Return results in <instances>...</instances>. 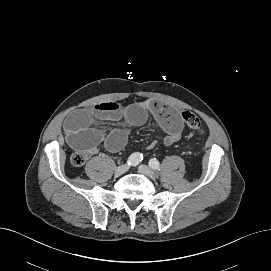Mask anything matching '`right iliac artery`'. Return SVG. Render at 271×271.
Here are the masks:
<instances>
[{"label":"right iliac artery","mask_w":271,"mask_h":271,"mask_svg":"<svg viewBox=\"0 0 271 271\" xmlns=\"http://www.w3.org/2000/svg\"><path fill=\"white\" fill-rule=\"evenodd\" d=\"M143 160V155L141 153H133L127 160L128 166H136Z\"/></svg>","instance_id":"right-iliac-artery-1"}]
</instances>
